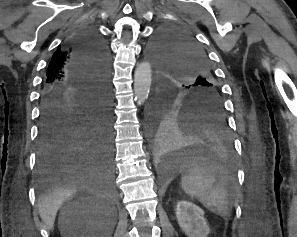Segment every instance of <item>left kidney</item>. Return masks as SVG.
Segmentation results:
<instances>
[{
    "label": "left kidney",
    "mask_w": 297,
    "mask_h": 237,
    "mask_svg": "<svg viewBox=\"0 0 297 237\" xmlns=\"http://www.w3.org/2000/svg\"><path fill=\"white\" fill-rule=\"evenodd\" d=\"M176 217L181 230L188 237H207L210 228L204 218V211L185 200L179 201L176 207Z\"/></svg>",
    "instance_id": "obj_1"
}]
</instances>
